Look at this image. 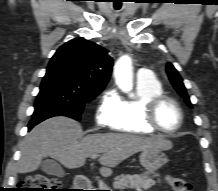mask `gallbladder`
Masks as SVG:
<instances>
[{
	"label": "gallbladder",
	"instance_id": "gallbladder-1",
	"mask_svg": "<svg viewBox=\"0 0 218 191\" xmlns=\"http://www.w3.org/2000/svg\"><path fill=\"white\" fill-rule=\"evenodd\" d=\"M41 169L44 173L62 177L64 171L60 164L53 159H46L41 163Z\"/></svg>",
	"mask_w": 218,
	"mask_h": 191
}]
</instances>
